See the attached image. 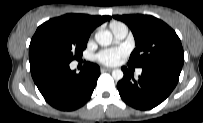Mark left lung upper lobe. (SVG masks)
I'll list each match as a JSON object with an SVG mask.
<instances>
[{"label": "left lung upper lobe", "mask_w": 203, "mask_h": 123, "mask_svg": "<svg viewBox=\"0 0 203 123\" xmlns=\"http://www.w3.org/2000/svg\"><path fill=\"white\" fill-rule=\"evenodd\" d=\"M131 29L136 43L128 65L147 67L152 65L182 68L184 52L175 31L162 20L150 15H115Z\"/></svg>", "instance_id": "left-lung-upper-lobe-1"}]
</instances>
